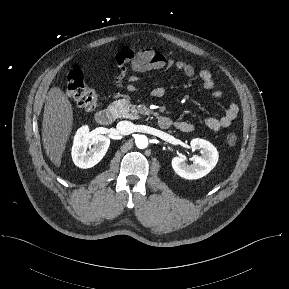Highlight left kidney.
I'll return each instance as SVG.
<instances>
[{"label": "left kidney", "mask_w": 289, "mask_h": 289, "mask_svg": "<svg viewBox=\"0 0 289 289\" xmlns=\"http://www.w3.org/2000/svg\"><path fill=\"white\" fill-rule=\"evenodd\" d=\"M190 148L200 152V156L194 155L191 158L193 164L188 165L184 157H174L172 167L174 171L182 178L193 180L207 175L218 162V151L209 142L204 139L195 138L190 142Z\"/></svg>", "instance_id": "obj_1"}]
</instances>
